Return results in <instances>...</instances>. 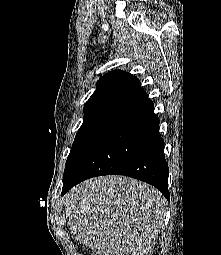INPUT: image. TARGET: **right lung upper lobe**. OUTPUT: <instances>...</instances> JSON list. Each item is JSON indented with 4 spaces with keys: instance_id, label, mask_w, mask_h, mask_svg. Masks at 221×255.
<instances>
[{
    "instance_id": "right-lung-upper-lobe-1",
    "label": "right lung upper lobe",
    "mask_w": 221,
    "mask_h": 255,
    "mask_svg": "<svg viewBox=\"0 0 221 255\" xmlns=\"http://www.w3.org/2000/svg\"><path fill=\"white\" fill-rule=\"evenodd\" d=\"M96 90L84 106V112L101 108H119L144 90L140 81L125 71L115 70L101 77Z\"/></svg>"
}]
</instances>
